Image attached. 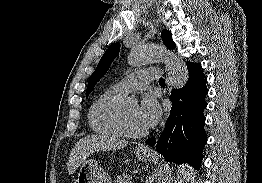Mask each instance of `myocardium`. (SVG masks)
Instances as JSON below:
<instances>
[{"label": "myocardium", "instance_id": "obj_1", "mask_svg": "<svg viewBox=\"0 0 262 183\" xmlns=\"http://www.w3.org/2000/svg\"><path fill=\"white\" fill-rule=\"evenodd\" d=\"M120 125L124 132V134L128 137L132 138H141L148 134L147 130H135L131 127V125L128 122L127 116L125 114L124 110H121L120 113Z\"/></svg>", "mask_w": 262, "mask_h": 183}]
</instances>
